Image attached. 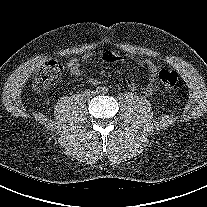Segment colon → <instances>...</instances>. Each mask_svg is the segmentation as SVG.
I'll list each match as a JSON object with an SVG mask.
<instances>
[{
	"instance_id": "obj_1",
	"label": "colon",
	"mask_w": 207,
	"mask_h": 207,
	"mask_svg": "<svg viewBox=\"0 0 207 207\" xmlns=\"http://www.w3.org/2000/svg\"><path fill=\"white\" fill-rule=\"evenodd\" d=\"M62 65L55 60H51L44 65L41 71L36 75L34 87L37 90H46L55 84L56 80L61 76ZM158 77L166 88H174L178 82V73L170 69H162L158 73Z\"/></svg>"
}]
</instances>
